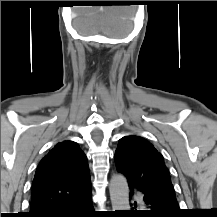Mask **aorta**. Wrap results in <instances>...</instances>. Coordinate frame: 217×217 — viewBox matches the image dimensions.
<instances>
[{
	"mask_svg": "<svg viewBox=\"0 0 217 217\" xmlns=\"http://www.w3.org/2000/svg\"><path fill=\"white\" fill-rule=\"evenodd\" d=\"M109 192L113 211L130 210L129 188L127 179L123 175L116 174L111 178Z\"/></svg>",
	"mask_w": 217,
	"mask_h": 217,
	"instance_id": "aorta-1",
	"label": "aorta"
}]
</instances>
